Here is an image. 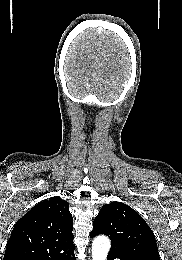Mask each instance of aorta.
<instances>
[{
	"label": "aorta",
	"instance_id": "aorta-1",
	"mask_svg": "<svg viewBox=\"0 0 182 260\" xmlns=\"http://www.w3.org/2000/svg\"><path fill=\"white\" fill-rule=\"evenodd\" d=\"M110 241L106 236H97L92 243V260H106Z\"/></svg>",
	"mask_w": 182,
	"mask_h": 260
}]
</instances>
